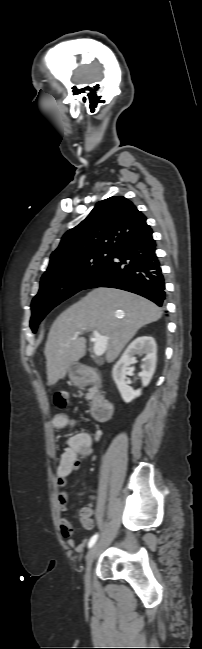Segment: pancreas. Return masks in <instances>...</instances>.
I'll list each match as a JSON object with an SVG mask.
<instances>
[{
	"mask_svg": "<svg viewBox=\"0 0 202 649\" xmlns=\"http://www.w3.org/2000/svg\"><path fill=\"white\" fill-rule=\"evenodd\" d=\"M92 397H93V396H92V394H91V393H89V394L87 395V399H88V400H91V399H92Z\"/></svg>",
	"mask_w": 202,
	"mask_h": 649,
	"instance_id": "obj_1",
	"label": "pancreas"
}]
</instances>
